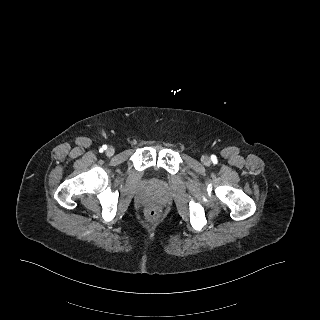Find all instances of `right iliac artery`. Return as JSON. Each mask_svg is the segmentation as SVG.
<instances>
[{
	"instance_id": "82829eb1",
	"label": "right iliac artery",
	"mask_w": 320,
	"mask_h": 320,
	"mask_svg": "<svg viewBox=\"0 0 320 320\" xmlns=\"http://www.w3.org/2000/svg\"><path fill=\"white\" fill-rule=\"evenodd\" d=\"M106 149H107V146H106V145H103L102 148L100 149V151L103 152V151L106 150Z\"/></svg>"
}]
</instances>
